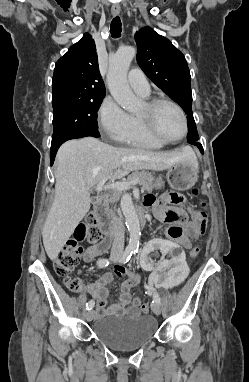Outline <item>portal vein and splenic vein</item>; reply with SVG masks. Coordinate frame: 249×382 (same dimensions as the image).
Listing matches in <instances>:
<instances>
[{
  "instance_id": "18ae733b",
  "label": "portal vein and splenic vein",
  "mask_w": 249,
  "mask_h": 382,
  "mask_svg": "<svg viewBox=\"0 0 249 382\" xmlns=\"http://www.w3.org/2000/svg\"><path fill=\"white\" fill-rule=\"evenodd\" d=\"M139 182V179H134L130 182L127 181H118V182H112L108 185H104L105 181H102L98 183L95 187L97 192H101L103 190H128L131 186L136 185Z\"/></svg>"
}]
</instances>
